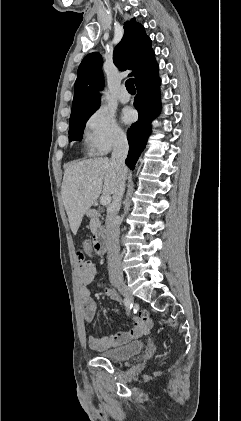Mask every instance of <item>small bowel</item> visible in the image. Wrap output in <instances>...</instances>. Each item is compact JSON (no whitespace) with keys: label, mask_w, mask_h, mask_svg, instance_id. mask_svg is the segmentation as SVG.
<instances>
[{"label":"small bowel","mask_w":241,"mask_h":421,"mask_svg":"<svg viewBox=\"0 0 241 421\" xmlns=\"http://www.w3.org/2000/svg\"><path fill=\"white\" fill-rule=\"evenodd\" d=\"M97 276V269L94 263L80 262L77 269V278L79 284V297L82 305L83 318L87 324H92L95 320L97 304L91 296L88 285L94 281ZM107 298L117 300L118 296L113 290H106ZM133 326L127 331H120L115 334H109L102 337L90 336L88 338L89 346L96 351L108 350L133 339H137L147 333L153 327V320L146 310H142L132 320Z\"/></svg>","instance_id":"c3829d8e"}]
</instances>
